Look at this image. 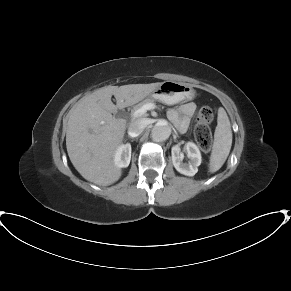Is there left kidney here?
Listing matches in <instances>:
<instances>
[{
  "label": "left kidney",
  "mask_w": 291,
  "mask_h": 291,
  "mask_svg": "<svg viewBox=\"0 0 291 291\" xmlns=\"http://www.w3.org/2000/svg\"><path fill=\"white\" fill-rule=\"evenodd\" d=\"M184 151L189 158L188 163H183L184 154L179 146L172 147V162L175 169L186 176H194L198 172V166L201 164V153L199 148L193 142H188L184 146Z\"/></svg>",
  "instance_id": "obj_1"
}]
</instances>
